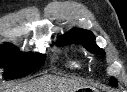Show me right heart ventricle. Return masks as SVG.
Here are the masks:
<instances>
[{"instance_id":"1","label":"right heart ventricle","mask_w":127,"mask_h":92,"mask_svg":"<svg viewBox=\"0 0 127 92\" xmlns=\"http://www.w3.org/2000/svg\"><path fill=\"white\" fill-rule=\"evenodd\" d=\"M68 66L70 68H79L80 67V63L77 60H70L68 62Z\"/></svg>"}]
</instances>
